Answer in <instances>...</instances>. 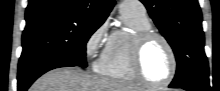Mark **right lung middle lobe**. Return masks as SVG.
Segmentation results:
<instances>
[{
    "label": "right lung middle lobe",
    "instance_id": "obj_1",
    "mask_svg": "<svg viewBox=\"0 0 220 91\" xmlns=\"http://www.w3.org/2000/svg\"><path fill=\"white\" fill-rule=\"evenodd\" d=\"M100 26L74 18H54L27 24L22 36L19 69L52 58L86 67V43Z\"/></svg>",
    "mask_w": 220,
    "mask_h": 91
}]
</instances>
